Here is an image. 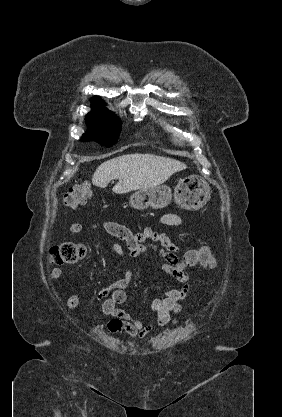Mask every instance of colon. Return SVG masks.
<instances>
[{
	"mask_svg": "<svg viewBox=\"0 0 282 417\" xmlns=\"http://www.w3.org/2000/svg\"><path fill=\"white\" fill-rule=\"evenodd\" d=\"M91 189L88 184H77L69 190L64 198L66 205L76 207L83 204ZM86 249L83 245L71 241H62L54 245L49 254L52 265H74L85 256ZM217 262L216 254L207 247L193 249L183 256V266H167L174 274L181 275L188 268L200 265L203 268H214Z\"/></svg>",
	"mask_w": 282,
	"mask_h": 417,
	"instance_id": "1",
	"label": "colon"
}]
</instances>
